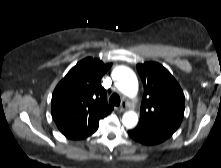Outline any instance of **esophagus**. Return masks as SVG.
<instances>
[{"label": "esophagus", "instance_id": "34e87169", "mask_svg": "<svg viewBox=\"0 0 221 168\" xmlns=\"http://www.w3.org/2000/svg\"><path fill=\"white\" fill-rule=\"evenodd\" d=\"M127 109V102L122 101L121 106L117 108V111L124 112Z\"/></svg>", "mask_w": 221, "mask_h": 168}]
</instances>
